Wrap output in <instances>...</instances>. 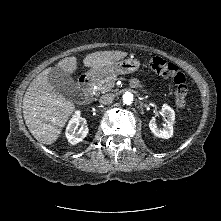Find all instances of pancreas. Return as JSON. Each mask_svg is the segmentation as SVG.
<instances>
[{"mask_svg": "<svg viewBox=\"0 0 221 221\" xmlns=\"http://www.w3.org/2000/svg\"><path fill=\"white\" fill-rule=\"evenodd\" d=\"M116 80H117L116 75H110L98 81L96 84V88L93 90V94L97 96L100 93H105L110 91L114 87Z\"/></svg>", "mask_w": 221, "mask_h": 221, "instance_id": "pancreas-1", "label": "pancreas"}]
</instances>
